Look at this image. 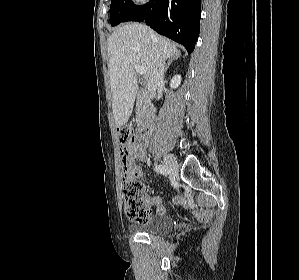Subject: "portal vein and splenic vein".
I'll list each match as a JSON object with an SVG mask.
<instances>
[{"label":"portal vein and splenic vein","mask_w":299,"mask_h":280,"mask_svg":"<svg viewBox=\"0 0 299 280\" xmlns=\"http://www.w3.org/2000/svg\"><path fill=\"white\" fill-rule=\"evenodd\" d=\"M135 70L137 73H139L141 75H145L147 73L146 67L142 66V65H135Z\"/></svg>","instance_id":"obj_1"}]
</instances>
